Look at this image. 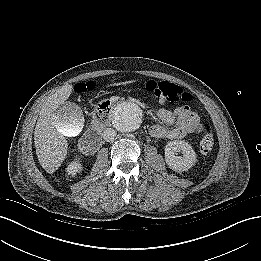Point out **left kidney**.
I'll list each match as a JSON object with an SVG mask.
<instances>
[{"instance_id":"left-kidney-1","label":"left kidney","mask_w":261,"mask_h":261,"mask_svg":"<svg viewBox=\"0 0 261 261\" xmlns=\"http://www.w3.org/2000/svg\"><path fill=\"white\" fill-rule=\"evenodd\" d=\"M181 153L183 156H178ZM196 153L185 141H170L165 146V161L168 167L177 172L190 169L196 163Z\"/></svg>"}]
</instances>
